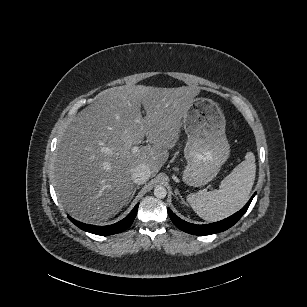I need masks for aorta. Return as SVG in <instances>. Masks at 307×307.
<instances>
[{
    "mask_svg": "<svg viewBox=\"0 0 307 307\" xmlns=\"http://www.w3.org/2000/svg\"><path fill=\"white\" fill-rule=\"evenodd\" d=\"M154 195L156 198L158 199H163L166 197L167 195V190L165 187L161 186V185H157L154 189Z\"/></svg>",
    "mask_w": 307,
    "mask_h": 307,
    "instance_id": "762f6f07",
    "label": "aorta"
}]
</instances>
